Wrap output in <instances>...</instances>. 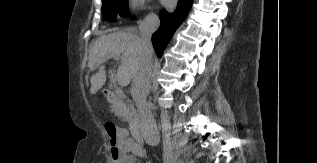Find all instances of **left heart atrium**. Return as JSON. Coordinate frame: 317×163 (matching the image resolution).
Returning <instances> with one entry per match:
<instances>
[{"mask_svg":"<svg viewBox=\"0 0 317 163\" xmlns=\"http://www.w3.org/2000/svg\"><path fill=\"white\" fill-rule=\"evenodd\" d=\"M165 3H171L173 0H163Z\"/></svg>","mask_w":317,"mask_h":163,"instance_id":"left-heart-atrium-1","label":"left heart atrium"}]
</instances>
